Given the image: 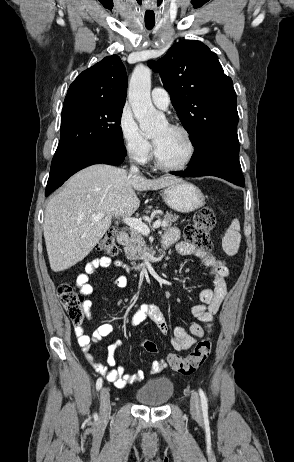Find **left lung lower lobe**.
Returning <instances> with one entry per match:
<instances>
[{"label":"left lung lower lobe","mask_w":294,"mask_h":462,"mask_svg":"<svg viewBox=\"0 0 294 462\" xmlns=\"http://www.w3.org/2000/svg\"><path fill=\"white\" fill-rule=\"evenodd\" d=\"M197 154L191 158L189 167L176 176H216L244 187L239 156L237 126H226L209 140L195 146Z\"/></svg>","instance_id":"obj_1"}]
</instances>
